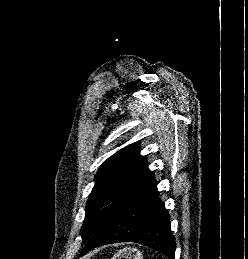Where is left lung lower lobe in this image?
<instances>
[{"label": "left lung lower lobe", "instance_id": "obj_1", "mask_svg": "<svg viewBox=\"0 0 248 259\" xmlns=\"http://www.w3.org/2000/svg\"><path fill=\"white\" fill-rule=\"evenodd\" d=\"M158 195L155 188L125 207L89 238L81 255L106 244L136 242L175 259L170 217Z\"/></svg>", "mask_w": 248, "mask_h": 259}]
</instances>
